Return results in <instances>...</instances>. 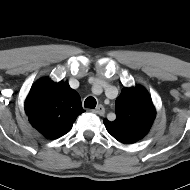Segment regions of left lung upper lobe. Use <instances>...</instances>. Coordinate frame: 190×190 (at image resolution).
Here are the masks:
<instances>
[{
    "instance_id": "obj_1",
    "label": "left lung upper lobe",
    "mask_w": 190,
    "mask_h": 190,
    "mask_svg": "<svg viewBox=\"0 0 190 190\" xmlns=\"http://www.w3.org/2000/svg\"><path fill=\"white\" fill-rule=\"evenodd\" d=\"M116 119H104V125L116 140L132 144L142 139L155 119V108L148 92L141 86L123 88L116 99Z\"/></svg>"
}]
</instances>
